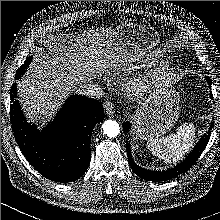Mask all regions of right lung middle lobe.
Here are the masks:
<instances>
[{
	"instance_id": "1",
	"label": "right lung middle lobe",
	"mask_w": 220,
	"mask_h": 220,
	"mask_svg": "<svg viewBox=\"0 0 220 220\" xmlns=\"http://www.w3.org/2000/svg\"><path fill=\"white\" fill-rule=\"evenodd\" d=\"M31 61H32V56L27 57L24 64L17 71L16 76H15L16 79L20 78L24 74V72L26 71L27 66L30 64Z\"/></svg>"
}]
</instances>
